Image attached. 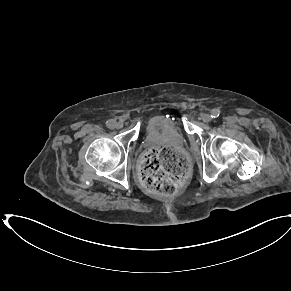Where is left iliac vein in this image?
Masks as SVG:
<instances>
[{
  "label": "left iliac vein",
  "instance_id": "4c4485c4",
  "mask_svg": "<svg viewBox=\"0 0 291 291\" xmlns=\"http://www.w3.org/2000/svg\"><path fill=\"white\" fill-rule=\"evenodd\" d=\"M202 120H203V122H205V123H209V122L212 120V118H211V116H210L209 114H204V115L202 116Z\"/></svg>",
  "mask_w": 291,
  "mask_h": 291
}]
</instances>
